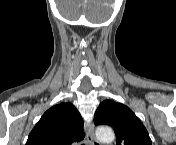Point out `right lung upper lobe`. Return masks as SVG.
<instances>
[{
    "label": "right lung upper lobe",
    "instance_id": "cb5924a9",
    "mask_svg": "<svg viewBox=\"0 0 176 145\" xmlns=\"http://www.w3.org/2000/svg\"><path fill=\"white\" fill-rule=\"evenodd\" d=\"M84 138L83 120L71 103L47 110L28 136L26 145H71Z\"/></svg>",
    "mask_w": 176,
    "mask_h": 145
}]
</instances>
